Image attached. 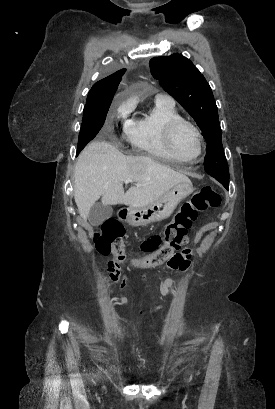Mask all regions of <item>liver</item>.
<instances>
[{"label":"liver","instance_id":"1","mask_svg":"<svg viewBox=\"0 0 275 409\" xmlns=\"http://www.w3.org/2000/svg\"><path fill=\"white\" fill-rule=\"evenodd\" d=\"M124 178L134 180L126 192ZM184 180H189L186 174L157 164L150 156H126L110 142L94 140L78 156L74 198L80 217L86 221L98 198L102 205L145 207Z\"/></svg>","mask_w":275,"mask_h":409}]
</instances>
